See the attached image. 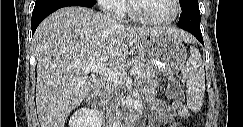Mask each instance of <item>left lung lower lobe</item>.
<instances>
[{
  "label": "left lung lower lobe",
  "instance_id": "obj_1",
  "mask_svg": "<svg viewBox=\"0 0 243 127\" xmlns=\"http://www.w3.org/2000/svg\"><path fill=\"white\" fill-rule=\"evenodd\" d=\"M178 26L193 34L204 45L200 30V10L198 4L182 7Z\"/></svg>",
  "mask_w": 243,
  "mask_h": 127
}]
</instances>
